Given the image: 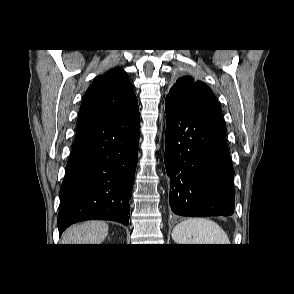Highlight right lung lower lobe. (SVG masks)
Instances as JSON below:
<instances>
[{"mask_svg":"<svg viewBox=\"0 0 294 294\" xmlns=\"http://www.w3.org/2000/svg\"><path fill=\"white\" fill-rule=\"evenodd\" d=\"M139 131L137 100L111 116L78 123L60 190V235L83 220L128 225Z\"/></svg>","mask_w":294,"mask_h":294,"instance_id":"1","label":"right lung lower lobe"}]
</instances>
